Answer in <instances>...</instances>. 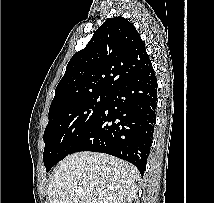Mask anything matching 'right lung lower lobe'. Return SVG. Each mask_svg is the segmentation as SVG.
<instances>
[{
	"instance_id": "1",
	"label": "right lung lower lobe",
	"mask_w": 214,
	"mask_h": 203,
	"mask_svg": "<svg viewBox=\"0 0 214 203\" xmlns=\"http://www.w3.org/2000/svg\"><path fill=\"white\" fill-rule=\"evenodd\" d=\"M157 79L151 66L108 93L92 127L70 154L107 153L134 164L143 175L156 122Z\"/></svg>"
}]
</instances>
